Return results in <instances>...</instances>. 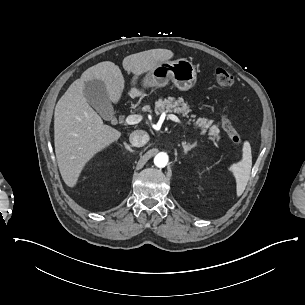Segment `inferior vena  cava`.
I'll list each match as a JSON object with an SVG mask.
<instances>
[{
    "label": "inferior vena cava",
    "instance_id": "602c4592",
    "mask_svg": "<svg viewBox=\"0 0 305 305\" xmlns=\"http://www.w3.org/2000/svg\"><path fill=\"white\" fill-rule=\"evenodd\" d=\"M129 141L132 146L140 148L149 141V135L142 130L134 131L130 134Z\"/></svg>",
    "mask_w": 305,
    "mask_h": 305
}]
</instances>
